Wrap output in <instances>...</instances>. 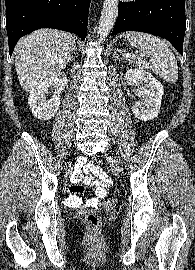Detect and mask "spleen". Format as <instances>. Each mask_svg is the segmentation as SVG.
I'll return each instance as SVG.
<instances>
[{
	"instance_id": "obj_1",
	"label": "spleen",
	"mask_w": 195,
	"mask_h": 270,
	"mask_svg": "<svg viewBox=\"0 0 195 270\" xmlns=\"http://www.w3.org/2000/svg\"><path fill=\"white\" fill-rule=\"evenodd\" d=\"M126 38L138 44L143 52L142 58H138V66L144 69H152L167 82L175 83L178 80V65L175 55L165 41L148 33L128 32ZM146 55L149 61L143 56Z\"/></svg>"
}]
</instances>
